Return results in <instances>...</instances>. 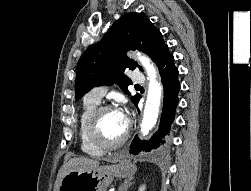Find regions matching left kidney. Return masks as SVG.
<instances>
[{
	"label": "left kidney",
	"instance_id": "obj_1",
	"mask_svg": "<svg viewBox=\"0 0 251 191\" xmlns=\"http://www.w3.org/2000/svg\"><path fill=\"white\" fill-rule=\"evenodd\" d=\"M145 189H146V185L145 183H143V185H140L138 191H145Z\"/></svg>",
	"mask_w": 251,
	"mask_h": 191
}]
</instances>
